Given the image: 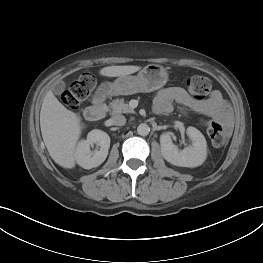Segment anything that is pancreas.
Instances as JSON below:
<instances>
[{"label":"pancreas","instance_id":"pancreas-1","mask_svg":"<svg viewBox=\"0 0 263 263\" xmlns=\"http://www.w3.org/2000/svg\"><path fill=\"white\" fill-rule=\"evenodd\" d=\"M107 110L110 114H118V113H134L133 108L129 106L128 103L124 102V99H115L110 102Z\"/></svg>","mask_w":263,"mask_h":263}]
</instances>
